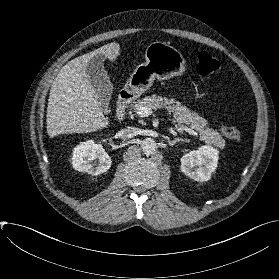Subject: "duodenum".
<instances>
[{
    "mask_svg": "<svg viewBox=\"0 0 279 279\" xmlns=\"http://www.w3.org/2000/svg\"><path fill=\"white\" fill-rule=\"evenodd\" d=\"M133 100V95L128 91H122L117 100L118 118H122L128 105Z\"/></svg>",
    "mask_w": 279,
    "mask_h": 279,
    "instance_id": "duodenum-1",
    "label": "duodenum"
}]
</instances>
